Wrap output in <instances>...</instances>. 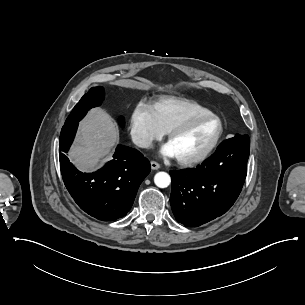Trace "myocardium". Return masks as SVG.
<instances>
[{
	"label": "myocardium",
	"instance_id": "f54148a6",
	"mask_svg": "<svg viewBox=\"0 0 305 305\" xmlns=\"http://www.w3.org/2000/svg\"><path fill=\"white\" fill-rule=\"evenodd\" d=\"M211 118L217 119L220 122V126H221L220 131H219L216 139L214 140V142L208 148H206L204 151H202L201 153H199L197 155L190 156V157L176 156L178 163H180L181 165H184V166H191V165L200 163V162L206 160L207 158H209L218 149V147L221 145L222 141L224 140L226 132H227V126H226L224 119L219 114L210 111L209 113H206L203 115H198V116L188 118V119L182 121L181 123H179L178 125H176L174 128H172L169 131L168 143H171L178 135L183 133L191 125L203 122V121H205L207 119H211Z\"/></svg>",
	"mask_w": 305,
	"mask_h": 305
}]
</instances>
